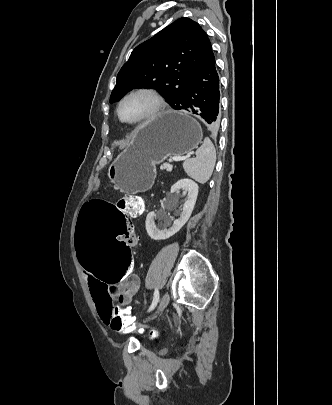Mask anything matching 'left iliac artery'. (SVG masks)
Wrapping results in <instances>:
<instances>
[{
	"label": "left iliac artery",
	"mask_w": 332,
	"mask_h": 405,
	"mask_svg": "<svg viewBox=\"0 0 332 405\" xmlns=\"http://www.w3.org/2000/svg\"><path fill=\"white\" fill-rule=\"evenodd\" d=\"M159 297H160L159 290L156 288L155 291H154L152 303H151L148 311H151L156 307V305H157V303L159 301Z\"/></svg>",
	"instance_id": "44dca946"
}]
</instances>
